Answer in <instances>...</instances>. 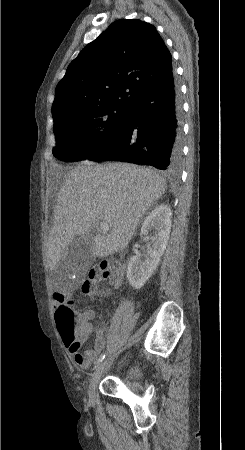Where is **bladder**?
Returning a JSON list of instances; mask_svg holds the SVG:
<instances>
[{
  "label": "bladder",
  "instance_id": "bladder-1",
  "mask_svg": "<svg viewBox=\"0 0 245 450\" xmlns=\"http://www.w3.org/2000/svg\"><path fill=\"white\" fill-rule=\"evenodd\" d=\"M142 375V366L136 363H129L123 369L121 378L130 383H136Z\"/></svg>",
  "mask_w": 245,
  "mask_h": 450
}]
</instances>
